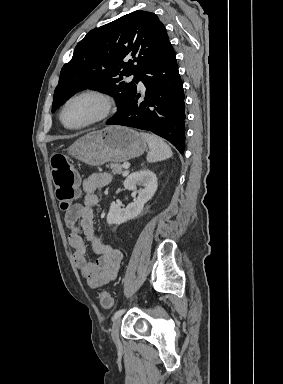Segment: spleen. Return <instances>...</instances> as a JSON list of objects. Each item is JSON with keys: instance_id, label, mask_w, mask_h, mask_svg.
Segmentation results:
<instances>
[{"instance_id": "3e777b00", "label": "spleen", "mask_w": 283, "mask_h": 384, "mask_svg": "<svg viewBox=\"0 0 283 384\" xmlns=\"http://www.w3.org/2000/svg\"><path fill=\"white\" fill-rule=\"evenodd\" d=\"M140 136L145 138L149 146L150 152L147 154V162H162V160H167V158L173 156L171 148L165 144L162 138L144 134V132H141Z\"/></svg>"}]
</instances>
